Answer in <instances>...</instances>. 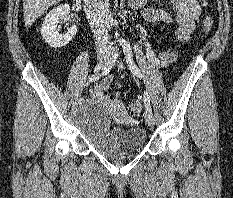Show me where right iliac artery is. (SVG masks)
Returning a JSON list of instances; mask_svg holds the SVG:
<instances>
[{"instance_id": "obj_1", "label": "right iliac artery", "mask_w": 233, "mask_h": 198, "mask_svg": "<svg viewBox=\"0 0 233 198\" xmlns=\"http://www.w3.org/2000/svg\"><path fill=\"white\" fill-rule=\"evenodd\" d=\"M119 48L116 46L115 52L112 54V57L110 58L109 62L106 64V66L102 69V72L98 73L100 70L98 67L95 68V74L91 75L89 77V82H93L98 80L100 77L107 75L113 65L115 64L118 56H119ZM84 102V98H80L78 103L81 105Z\"/></svg>"}]
</instances>
